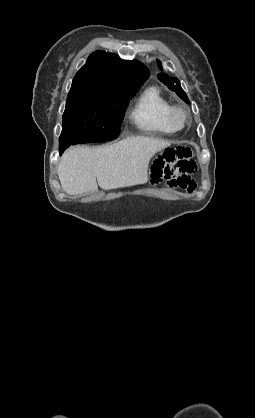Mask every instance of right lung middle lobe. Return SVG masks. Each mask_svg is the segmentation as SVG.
I'll use <instances>...</instances> for the list:
<instances>
[{
  "label": "right lung middle lobe",
  "instance_id": "dd1d6c3e",
  "mask_svg": "<svg viewBox=\"0 0 255 418\" xmlns=\"http://www.w3.org/2000/svg\"><path fill=\"white\" fill-rule=\"evenodd\" d=\"M137 91H69L59 145L104 142L117 138L126 107Z\"/></svg>",
  "mask_w": 255,
  "mask_h": 418
}]
</instances>
